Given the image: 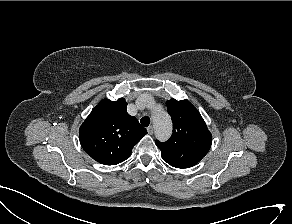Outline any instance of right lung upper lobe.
<instances>
[{"mask_svg":"<svg viewBox=\"0 0 292 224\" xmlns=\"http://www.w3.org/2000/svg\"><path fill=\"white\" fill-rule=\"evenodd\" d=\"M124 98L103 99L79 129L84 151L97 162L116 165L125 161L132 148L147 134L137 119L126 111Z\"/></svg>","mask_w":292,"mask_h":224,"instance_id":"right-lung-upper-lobe-1","label":"right lung upper lobe"}]
</instances>
